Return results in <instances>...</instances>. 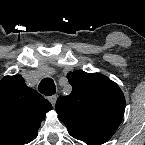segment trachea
Returning a JSON list of instances; mask_svg holds the SVG:
<instances>
[{"label": "trachea", "mask_w": 145, "mask_h": 145, "mask_svg": "<svg viewBox=\"0 0 145 145\" xmlns=\"http://www.w3.org/2000/svg\"><path fill=\"white\" fill-rule=\"evenodd\" d=\"M38 90L40 93L46 96H51L55 94L56 86H55L54 81L51 78H45L40 82L38 86Z\"/></svg>", "instance_id": "3493384b"}]
</instances>
